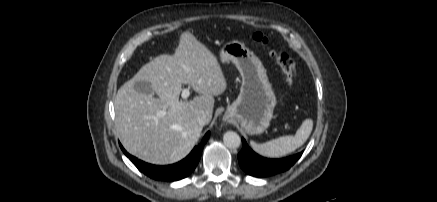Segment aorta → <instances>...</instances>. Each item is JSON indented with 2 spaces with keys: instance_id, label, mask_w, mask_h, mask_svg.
Returning <instances> with one entry per match:
<instances>
[{
  "instance_id": "obj_1",
  "label": "aorta",
  "mask_w": 437,
  "mask_h": 202,
  "mask_svg": "<svg viewBox=\"0 0 437 202\" xmlns=\"http://www.w3.org/2000/svg\"><path fill=\"white\" fill-rule=\"evenodd\" d=\"M223 142L226 147L236 149L241 144V138L236 132L228 131L223 135Z\"/></svg>"
}]
</instances>
